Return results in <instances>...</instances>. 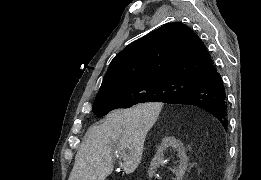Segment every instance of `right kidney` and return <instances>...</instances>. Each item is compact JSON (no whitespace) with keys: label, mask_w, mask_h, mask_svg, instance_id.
<instances>
[{"label":"right kidney","mask_w":261,"mask_h":180,"mask_svg":"<svg viewBox=\"0 0 261 180\" xmlns=\"http://www.w3.org/2000/svg\"><path fill=\"white\" fill-rule=\"evenodd\" d=\"M168 146H173L175 148L176 152H178V156L180 158V168L178 170H173L174 174L178 176L179 180H182L185 172L188 170V160H187V154L186 150L180 142V140H177V138H174V136H168V138H163L160 146L157 148L156 156L153 158L151 162V168H149V176L151 178L153 170H156L158 168L159 164H162L164 160V150L168 148Z\"/></svg>","instance_id":"1"}]
</instances>
